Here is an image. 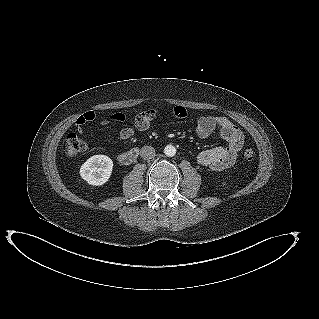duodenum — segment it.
I'll use <instances>...</instances> for the list:
<instances>
[{"label": "duodenum", "instance_id": "1", "mask_svg": "<svg viewBox=\"0 0 319 319\" xmlns=\"http://www.w3.org/2000/svg\"><path fill=\"white\" fill-rule=\"evenodd\" d=\"M138 154L139 151L137 149H131L127 152L122 153L119 156V161L124 165H129L138 157Z\"/></svg>", "mask_w": 319, "mask_h": 319}]
</instances>
